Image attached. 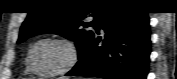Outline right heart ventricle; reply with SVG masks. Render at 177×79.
<instances>
[{"label":"right heart ventricle","instance_id":"e07e8e85","mask_svg":"<svg viewBox=\"0 0 177 79\" xmlns=\"http://www.w3.org/2000/svg\"><path fill=\"white\" fill-rule=\"evenodd\" d=\"M25 71L27 73H32V70L30 69L29 65H28V62H27V58L25 60Z\"/></svg>","mask_w":177,"mask_h":79}]
</instances>
